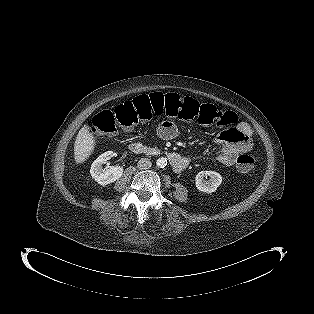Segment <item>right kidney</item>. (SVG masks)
<instances>
[{
  "label": "right kidney",
  "mask_w": 314,
  "mask_h": 314,
  "mask_svg": "<svg viewBox=\"0 0 314 314\" xmlns=\"http://www.w3.org/2000/svg\"><path fill=\"white\" fill-rule=\"evenodd\" d=\"M113 155L112 151H107L101 154L91 165L90 174L100 185L104 186L113 183L123 175V168L121 166L102 167Z\"/></svg>",
  "instance_id": "right-kidney-1"
}]
</instances>
